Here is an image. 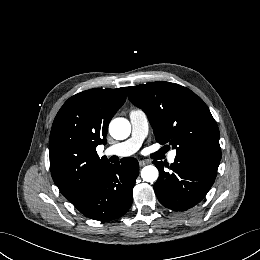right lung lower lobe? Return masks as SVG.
<instances>
[{
	"mask_svg": "<svg viewBox=\"0 0 260 260\" xmlns=\"http://www.w3.org/2000/svg\"><path fill=\"white\" fill-rule=\"evenodd\" d=\"M120 163L105 165L92 185L73 203L82 214L106 222L123 216L129 210L139 164L131 157L122 159Z\"/></svg>",
	"mask_w": 260,
	"mask_h": 260,
	"instance_id": "right-lung-lower-lobe-1",
	"label": "right lung lower lobe"
}]
</instances>
